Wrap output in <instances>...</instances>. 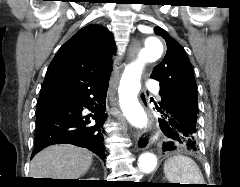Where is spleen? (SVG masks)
Instances as JSON below:
<instances>
[{"label":"spleen","instance_id":"spleen-1","mask_svg":"<svg viewBox=\"0 0 240 187\" xmlns=\"http://www.w3.org/2000/svg\"><path fill=\"white\" fill-rule=\"evenodd\" d=\"M164 173L170 183L204 184V178L197 164L189 157L177 155L164 164Z\"/></svg>","mask_w":240,"mask_h":187}]
</instances>
